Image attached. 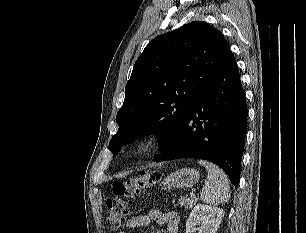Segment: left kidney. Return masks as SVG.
Instances as JSON below:
<instances>
[{
  "instance_id": "1",
  "label": "left kidney",
  "mask_w": 306,
  "mask_h": 233,
  "mask_svg": "<svg viewBox=\"0 0 306 233\" xmlns=\"http://www.w3.org/2000/svg\"><path fill=\"white\" fill-rule=\"evenodd\" d=\"M224 210L215 206L197 204L186 222V233H216ZM196 226H199L198 228Z\"/></svg>"
}]
</instances>
